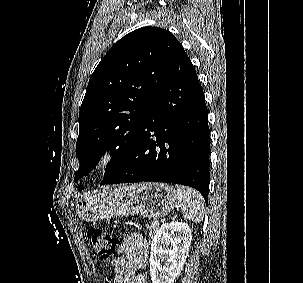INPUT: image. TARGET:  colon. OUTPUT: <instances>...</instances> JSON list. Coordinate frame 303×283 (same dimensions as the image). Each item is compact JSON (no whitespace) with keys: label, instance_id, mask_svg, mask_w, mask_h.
<instances>
[{"label":"colon","instance_id":"1","mask_svg":"<svg viewBox=\"0 0 303 283\" xmlns=\"http://www.w3.org/2000/svg\"><path fill=\"white\" fill-rule=\"evenodd\" d=\"M88 237L97 255L103 259H110L123 248L121 240L104 229L91 228Z\"/></svg>","mask_w":303,"mask_h":283}]
</instances>
